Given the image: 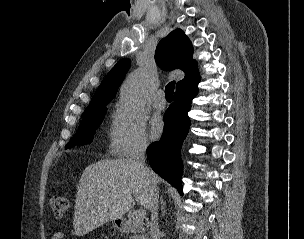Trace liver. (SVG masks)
<instances>
[{
  "label": "liver",
  "mask_w": 304,
  "mask_h": 239,
  "mask_svg": "<svg viewBox=\"0 0 304 239\" xmlns=\"http://www.w3.org/2000/svg\"><path fill=\"white\" fill-rule=\"evenodd\" d=\"M157 183L163 180L153 172ZM150 190L131 159H103L87 166L77 187L74 230L84 236L122 218L135 202L150 209Z\"/></svg>",
  "instance_id": "liver-1"
}]
</instances>
